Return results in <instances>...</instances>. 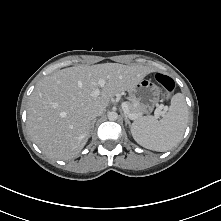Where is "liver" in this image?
I'll use <instances>...</instances> for the list:
<instances>
[{
  "mask_svg": "<svg viewBox=\"0 0 221 221\" xmlns=\"http://www.w3.org/2000/svg\"><path fill=\"white\" fill-rule=\"evenodd\" d=\"M153 71L142 65L104 63L69 67L46 76L28 102L27 127L32 139L51 158H75L88 141L92 113L105 110L113 96ZM100 79L105 85L99 96H92Z\"/></svg>",
  "mask_w": 221,
  "mask_h": 221,
  "instance_id": "6515ba94",
  "label": "liver"
}]
</instances>
